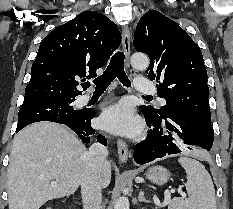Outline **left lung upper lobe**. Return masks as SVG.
Masks as SVG:
<instances>
[{
    "instance_id": "left-lung-upper-lobe-1",
    "label": "left lung upper lobe",
    "mask_w": 233,
    "mask_h": 209,
    "mask_svg": "<svg viewBox=\"0 0 233 209\" xmlns=\"http://www.w3.org/2000/svg\"><path fill=\"white\" fill-rule=\"evenodd\" d=\"M134 46L149 56L148 78L156 79L157 93L166 100L161 109L142 106V112L159 120L189 115L211 124L207 71L188 33L159 11L150 10L137 24Z\"/></svg>"
}]
</instances>
